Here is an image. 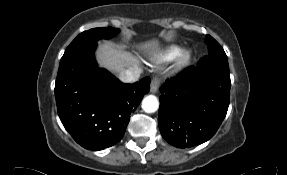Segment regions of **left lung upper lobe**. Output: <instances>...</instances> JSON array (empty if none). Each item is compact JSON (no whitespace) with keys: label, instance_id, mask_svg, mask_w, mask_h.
I'll return each instance as SVG.
<instances>
[{"label":"left lung upper lobe","instance_id":"obj_1","mask_svg":"<svg viewBox=\"0 0 287 175\" xmlns=\"http://www.w3.org/2000/svg\"><path fill=\"white\" fill-rule=\"evenodd\" d=\"M209 54L201 58L198 66L217 67L229 71L228 58L220 44L211 36H206Z\"/></svg>","mask_w":287,"mask_h":175}]
</instances>
